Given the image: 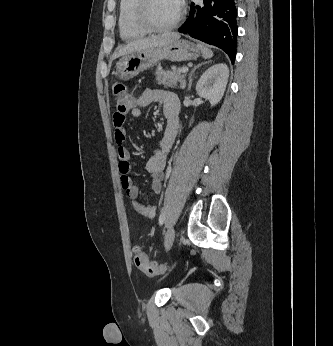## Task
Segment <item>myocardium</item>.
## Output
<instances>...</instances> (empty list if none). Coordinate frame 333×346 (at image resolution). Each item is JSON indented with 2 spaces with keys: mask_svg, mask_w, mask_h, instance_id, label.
<instances>
[{
  "mask_svg": "<svg viewBox=\"0 0 333 346\" xmlns=\"http://www.w3.org/2000/svg\"><path fill=\"white\" fill-rule=\"evenodd\" d=\"M151 0H138L137 3V19L139 23L149 32H165L176 27L183 16V4L179 2L178 11L171 22L165 25H157L150 17Z\"/></svg>",
  "mask_w": 333,
  "mask_h": 346,
  "instance_id": "obj_1",
  "label": "myocardium"
}]
</instances>
